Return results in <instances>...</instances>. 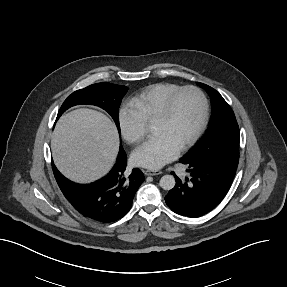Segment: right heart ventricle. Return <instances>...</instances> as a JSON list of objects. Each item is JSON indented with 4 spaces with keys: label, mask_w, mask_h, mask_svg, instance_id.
I'll return each instance as SVG.
<instances>
[{
    "label": "right heart ventricle",
    "mask_w": 287,
    "mask_h": 287,
    "mask_svg": "<svg viewBox=\"0 0 287 287\" xmlns=\"http://www.w3.org/2000/svg\"><path fill=\"white\" fill-rule=\"evenodd\" d=\"M180 88L174 83H158L148 86L134 96L129 106L134 110L145 125L152 123L162 110L167 98Z\"/></svg>",
    "instance_id": "right-heart-ventricle-1"
}]
</instances>
